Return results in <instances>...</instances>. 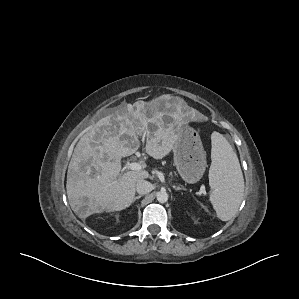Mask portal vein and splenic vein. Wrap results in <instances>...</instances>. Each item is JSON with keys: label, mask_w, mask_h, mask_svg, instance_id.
<instances>
[{"label": "portal vein and splenic vein", "mask_w": 299, "mask_h": 299, "mask_svg": "<svg viewBox=\"0 0 299 299\" xmlns=\"http://www.w3.org/2000/svg\"><path fill=\"white\" fill-rule=\"evenodd\" d=\"M143 168V165L140 164V163H137V162H132V163H129L127 164L123 170H134V171H140L142 170Z\"/></svg>", "instance_id": "1"}]
</instances>
